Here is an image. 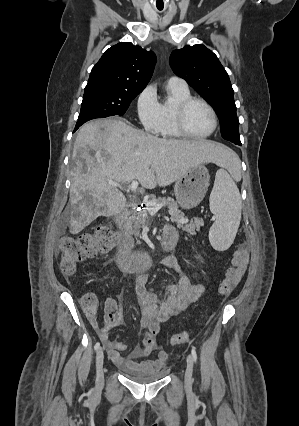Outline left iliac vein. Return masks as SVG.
<instances>
[{
	"mask_svg": "<svg viewBox=\"0 0 299 426\" xmlns=\"http://www.w3.org/2000/svg\"><path fill=\"white\" fill-rule=\"evenodd\" d=\"M186 362H187V367L185 371V386L189 388L192 384L193 357L191 355H188Z\"/></svg>",
	"mask_w": 299,
	"mask_h": 426,
	"instance_id": "1",
	"label": "left iliac vein"
}]
</instances>
